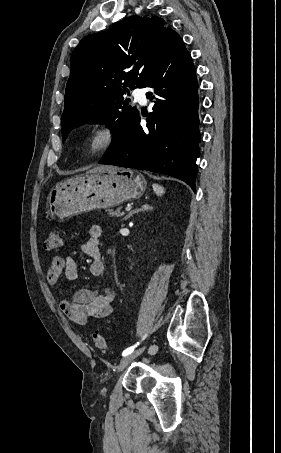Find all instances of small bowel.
Instances as JSON below:
<instances>
[{
  "mask_svg": "<svg viewBox=\"0 0 281 453\" xmlns=\"http://www.w3.org/2000/svg\"><path fill=\"white\" fill-rule=\"evenodd\" d=\"M102 232L100 225H92L89 228L88 237L81 246L82 251L91 257L88 265V274L93 277H100L105 271L99 247V238ZM62 271H64L67 279H76L78 277L76 261L70 256L52 255L50 267L45 274L46 280L51 286L65 293L68 288L60 280ZM114 300L115 294L108 290L82 288L76 290L70 300L62 301L60 307L62 312L73 322L83 326L89 319H100L109 315L112 310L111 304Z\"/></svg>",
  "mask_w": 281,
  "mask_h": 453,
  "instance_id": "small-bowel-1",
  "label": "small bowel"
}]
</instances>
